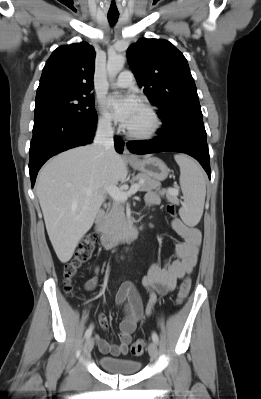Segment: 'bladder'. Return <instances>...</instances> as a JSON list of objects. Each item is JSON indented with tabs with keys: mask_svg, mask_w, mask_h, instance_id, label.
Listing matches in <instances>:
<instances>
[{
	"mask_svg": "<svg viewBox=\"0 0 261 399\" xmlns=\"http://www.w3.org/2000/svg\"><path fill=\"white\" fill-rule=\"evenodd\" d=\"M97 362L104 371L118 375L136 374L141 367L140 361L108 356H100Z\"/></svg>",
	"mask_w": 261,
	"mask_h": 399,
	"instance_id": "obj_1",
	"label": "bladder"
}]
</instances>
